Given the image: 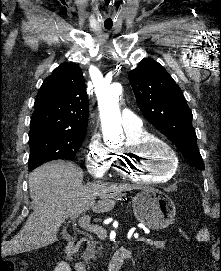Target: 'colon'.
Returning <instances> with one entry per match:
<instances>
[{
	"label": "colon",
	"instance_id": "obj_1",
	"mask_svg": "<svg viewBox=\"0 0 221 271\" xmlns=\"http://www.w3.org/2000/svg\"><path fill=\"white\" fill-rule=\"evenodd\" d=\"M16 266L12 262L5 261L0 263V271H16Z\"/></svg>",
	"mask_w": 221,
	"mask_h": 271
}]
</instances>
